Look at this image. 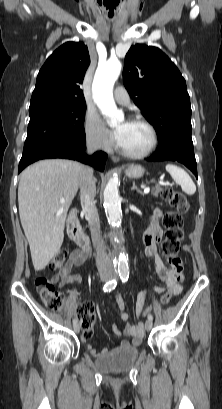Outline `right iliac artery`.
<instances>
[{
    "mask_svg": "<svg viewBox=\"0 0 222 409\" xmlns=\"http://www.w3.org/2000/svg\"><path fill=\"white\" fill-rule=\"evenodd\" d=\"M116 285H117V281H116L115 279H113V280L107 282V283L103 286V291H104V292H110V291H112L113 289H115ZM77 322H78L77 318H74V319H73V324H76Z\"/></svg>",
    "mask_w": 222,
    "mask_h": 409,
    "instance_id": "right-iliac-artery-1",
    "label": "right iliac artery"
}]
</instances>
